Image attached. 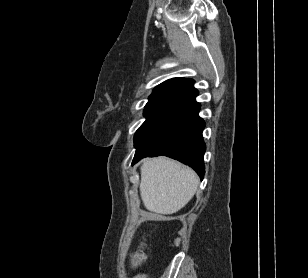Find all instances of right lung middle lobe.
<instances>
[{
  "mask_svg": "<svg viewBox=\"0 0 308 278\" xmlns=\"http://www.w3.org/2000/svg\"><path fill=\"white\" fill-rule=\"evenodd\" d=\"M145 117V122L138 128L134 136L135 148L155 136L176 118L173 115H145Z\"/></svg>",
  "mask_w": 308,
  "mask_h": 278,
  "instance_id": "right-lung-middle-lobe-1",
  "label": "right lung middle lobe"
}]
</instances>
